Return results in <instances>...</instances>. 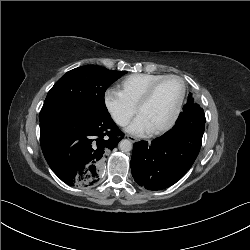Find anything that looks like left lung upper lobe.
Here are the masks:
<instances>
[{
	"label": "left lung upper lobe",
	"mask_w": 250,
	"mask_h": 250,
	"mask_svg": "<svg viewBox=\"0 0 250 250\" xmlns=\"http://www.w3.org/2000/svg\"><path fill=\"white\" fill-rule=\"evenodd\" d=\"M191 99H192V95H190V96L188 97V101H190ZM188 101H187V102H188Z\"/></svg>",
	"instance_id": "1"
}]
</instances>
